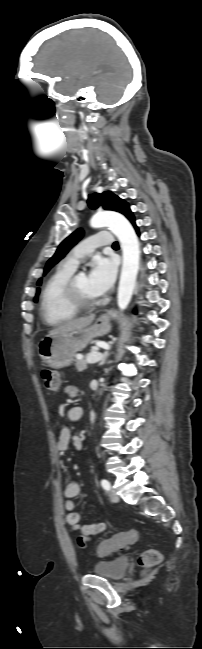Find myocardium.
I'll list each match as a JSON object with an SVG mask.
<instances>
[{
	"instance_id": "1",
	"label": "myocardium",
	"mask_w": 202,
	"mask_h": 649,
	"mask_svg": "<svg viewBox=\"0 0 202 649\" xmlns=\"http://www.w3.org/2000/svg\"><path fill=\"white\" fill-rule=\"evenodd\" d=\"M79 274H74L67 281L65 286V296L69 303L77 310H88L95 307L99 299L97 297H85L78 289L77 279Z\"/></svg>"
}]
</instances>
